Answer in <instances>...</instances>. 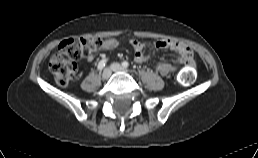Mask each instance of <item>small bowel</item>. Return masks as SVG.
I'll use <instances>...</instances> for the list:
<instances>
[{"label":"small bowel","mask_w":258,"mask_h":158,"mask_svg":"<svg viewBox=\"0 0 258 158\" xmlns=\"http://www.w3.org/2000/svg\"><path fill=\"white\" fill-rule=\"evenodd\" d=\"M130 45L132 46L135 54L134 60L137 63H143L150 56V51L147 49V46L139 40L131 39ZM118 46V41L115 38H107L103 41L104 50H113ZM170 48L176 51L179 54V58L177 60V64H183L187 66H192L194 63V56L192 49L185 44L184 42L177 39H163L157 41L151 50H162ZM95 53L90 52L86 56V60L88 63H93L95 61ZM156 71L162 75L167 76L173 73L176 70V66L167 62H161L157 64Z\"/></svg>","instance_id":"c3829d8e"}]
</instances>
